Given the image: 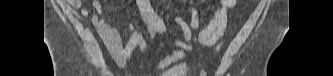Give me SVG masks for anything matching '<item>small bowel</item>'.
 Returning <instances> with one entry per match:
<instances>
[{
    "instance_id": "1",
    "label": "small bowel",
    "mask_w": 333,
    "mask_h": 76,
    "mask_svg": "<svg viewBox=\"0 0 333 76\" xmlns=\"http://www.w3.org/2000/svg\"><path fill=\"white\" fill-rule=\"evenodd\" d=\"M69 10L81 9L83 17L91 14V23L97 29L105 47L121 67L128 62L132 52L138 48L141 53L146 50V42L142 34L137 31L134 24H129L131 38L126 45L123 44L120 34L105 15L102 3L99 0L92 1V8H82L81 0L64 1ZM140 10V15L150 34L164 32L166 27L163 20L155 13L150 1L136 0ZM236 4L235 0H220L214 15L208 25L202 30L199 29L198 11L190 8V22L187 23L182 17L175 16L174 22L179 25L183 32V40H174L171 44V53L162 60L151 62L150 66L160 72L162 76H184L188 74L189 67L180 61L185 57L186 52L193 48V43L201 46L215 45L225 32L227 27V13Z\"/></svg>"
}]
</instances>
